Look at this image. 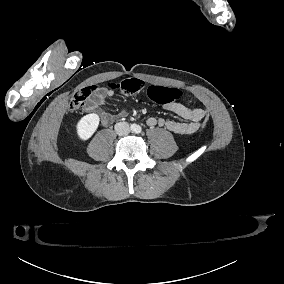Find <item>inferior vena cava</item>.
Masks as SVG:
<instances>
[{
    "instance_id": "inferior-vena-cava-1",
    "label": "inferior vena cava",
    "mask_w": 284,
    "mask_h": 284,
    "mask_svg": "<svg viewBox=\"0 0 284 284\" xmlns=\"http://www.w3.org/2000/svg\"><path fill=\"white\" fill-rule=\"evenodd\" d=\"M115 131L118 135L123 136L130 133V127L127 122H119L115 124Z\"/></svg>"
}]
</instances>
